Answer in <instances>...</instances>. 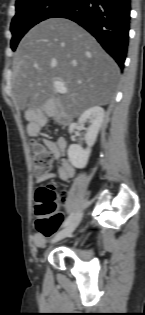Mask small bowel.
<instances>
[{
  "mask_svg": "<svg viewBox=\"0 0 145 315\" xmlns=\"http://www.w3.org/2000/svg\"><path fill=\"white\" fill-rule=\"evenodd\" d=\"M41 118H36L28 124V132L31 134H38L41 127ZM44 145L52 153L55 159L59 161V165L56 168V172H47L45 174H35L34 180L36 183H42L52 178H58L62 181L69 180L74 174V168L67 158L68 145L64 138L57 141H51L44 139ZM65 201V197H61V202ZM36 225V224H35ZM45 242V236L43 233H34L32 237V243L35 247H41Z\"/></svg>",
  "mask_w": 145,
  "mask_h": 315,
  "instance_id": "1",
  "label": "small bowel"
}]
</instances>
